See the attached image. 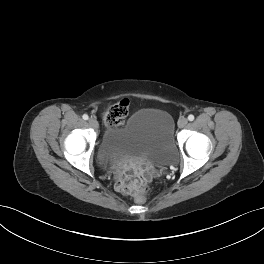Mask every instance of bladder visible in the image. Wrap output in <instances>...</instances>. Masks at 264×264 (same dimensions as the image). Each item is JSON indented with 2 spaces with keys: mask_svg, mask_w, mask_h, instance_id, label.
<instances>
[{
  "mask_svg": "<svg viewBox=\"0 0 264 264\" xmlns=\"http://www.w3.org/2000/svg\"><path fill=\"white\" fill-rule=\"evenodd\" d=\"M174 153L170 115L143 108L134 112L124 126L106 131L97 159L108 165L130 159L157 165L168 162Z\"/></svg>",
  "mask_w": 264,
  "mask_h": 264,
  "instance_id": "bladder-1",
  "label": "bladder"
}]
</instances>
